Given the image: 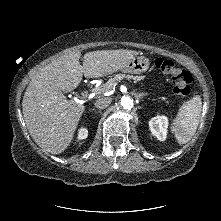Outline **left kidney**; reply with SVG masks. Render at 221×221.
Returning <instances> with one entry per match:
<instances>
[{
	"label": "left kidney",
	"mask_w": 221,
	"mask_h": 221,
	"mask_svg": "<svg viewBox=\"0 0 221 221\" xmlns=\"http://www.w3.org/2000/svg\"><path fill=\"white\" fill-rule=\"evenodd\" d=\"M149 128L151 133L160 141L167 136L168 119L166 116H156L150 119Z\"/></svg>",
	"instance_id": "left-kidney-1"
}]
</instances>
